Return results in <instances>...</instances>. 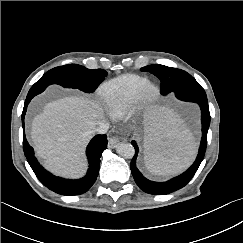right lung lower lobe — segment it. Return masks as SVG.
<instances>
[{
  "mask_svg": "<svg viewBox=\"0 0 243 243\" xmlns=\"http://www.w3.org/2000/svg\"><path fill=\"white\" fill-rule=\"evenodd\" d=\"M45 88V86H32L29 90L22 112L23 129L24 117L29 102L34 96L43 92ZM107 143L108 141L106 135H97L90 141L86 150L89 161V169L87 174L83 178L78 180L63 179L60 177H56L46 171L35 158L33 148L27 142L25 134L23 138V150L32 170L43 185L58 194L72 196L79 195L88 191V189L94 184L99 173L100 157L102 155V152L107 148Z\"/></svg>",
  "mask_w": 243,
  "mask_h": 243,
  "instance_id": "1",
  "label": "right lung lower lobe"
}]
</instances>
